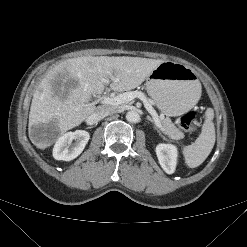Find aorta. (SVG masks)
Wrapping results in <instances>:
<instances>
[{
  "mask_svg": "<svg viewBox=\"0 0 247 247\" xmlns=\"http://www.w3.org/2000/svg\"><path fill=\"white\" fill-rule=\"evenodd\" d=\"M140 119L139 113L136 110H130L126 113V120L130 123H136Z\"/></svg>",
  "mask_w": 247,
  "mask_h": 247,
  "instance_id": "aorta-1",
  "label": "aorta"
}]
</instances>
